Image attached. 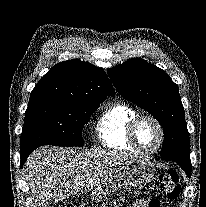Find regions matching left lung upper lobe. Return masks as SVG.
I'll use <instances>...</instances> for the list:
<instances>
[{"label": "left lung upper lobe", "instance_id": "5c2ea615", "mask_svg": "<svg viewBox=\"0 0 206 207\" xmlns=\"http://www.w3.org/2000/svg\"><path fill=\"white\" fill-rule=\"evenodd\" d=\"M108 75L123 98L160 122L165 135L162 158L191 172L190 140L177 84L162 69L140 58L109 69Z\"/></svg>", "mask_w": 206, "mask_h": 207}]
</instances>
